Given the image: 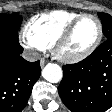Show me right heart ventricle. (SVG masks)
<instances>
[{
    "mask_svg": "<svg viewBox=\"0 0 112 112\" xmlns=\"http://www.w3.org/2000/svg\"><path fill=\"white\" fill-rule=\"evenodd\" d=\"M81 13L53 10L38 14L27 23L29 33L44 46L51 47L63 29Z\"/></svg>",
    "mask_w": 112,
    "mask_h": 112,
    "instance_id": "right-heart-ventricle-1",
    "label": "right heart ventricle"
}]
</instances>
